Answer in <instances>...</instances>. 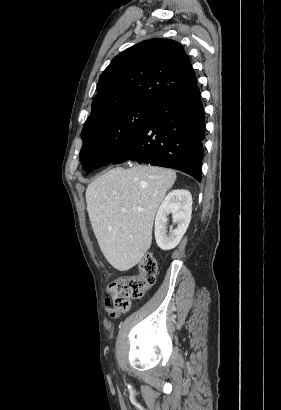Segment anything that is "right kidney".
<instances>
[{"instance_id":"ca27d5eb","label":"right kidney","mask_w":281,"mask_h":410,"mask_svg":"<svg viewBox=\"0 0 281 410\" xmlns=\"http://www.w3.org/2000/svg\"><path fill=\"white\" fill-rule=\"evenodd\" d=\"M173 216V222L177 224L167 234V216ZM192 213V195L188 190L176 189L168 193L160 205L155 218V240L162 250L175 248L185 234Z\"/></svg>"}]
</instances>
